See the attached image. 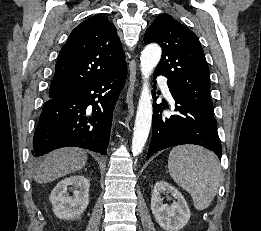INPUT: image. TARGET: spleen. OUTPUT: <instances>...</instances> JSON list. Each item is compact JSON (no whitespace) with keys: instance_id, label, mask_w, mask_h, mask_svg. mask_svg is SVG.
Masks as SVG:
<instances>
[{"instance_id":"spleen-1","label":"spleen","mask_w":261,"mask_h":231,"mask_svg":"<svg viewBox=\"0 0 261 231\" xmlns=\"http://www.w3.org/2000/svg\"><path fill=\"white\" fill-rule=\"evenodd\" d=\"M168 169L172 179L192 196L196 209L211 204L222 175L214 153L192 145L175 147L169 154Z\"/></svg>"}]
</instances>
